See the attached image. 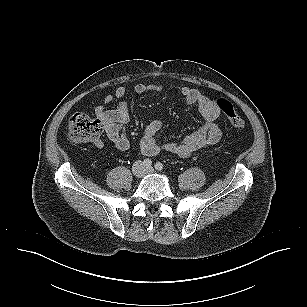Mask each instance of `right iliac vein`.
<instances>
[{
	"instance_id": "right-iliac-vein-1",
	"label": "right iliac vein",
	"mask_w": 307,
	"mask_h": 307,
	"mask_svg": "<svg viewBox=\"0 0 307 307\" xmlns=\"http://www.w3.org/2000/svg\"><path fill=\"white\" fill-rule=\"evenodd\" d=\"M133 173L136 177H142L144 173V166L141 162H137L133 167Z\"/></svg>"
}]
</instances>
